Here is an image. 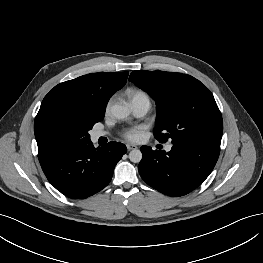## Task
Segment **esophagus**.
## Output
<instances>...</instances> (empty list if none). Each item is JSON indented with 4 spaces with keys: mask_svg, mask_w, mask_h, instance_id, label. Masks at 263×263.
Wrapping results in <instances>:
<instances>
[{
    "mask_svg": "<svg viewBox=\"0 0 263 263\" xmlns=\"http://www.w3.org/2000/svg\"><path fill=\"white\" fill-rule=\"evenodd\" d=\"M127 149L130 151V150H134V149H137V146L136 145H133V144H127Z\"/></svg>",
    "mask_w": 263,
    "mask_h": 263,
    "instance_id": "1",
    "label": "esophagus"
}]
</instances>
